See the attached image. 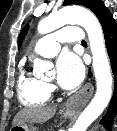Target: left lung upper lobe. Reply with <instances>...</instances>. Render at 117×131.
<instances>
[{"instance_id":"left-lung-upper-lobe-1","label":"left lung upper lobe","mask_w":117,"mask_h":131,"mask_svg":"<svg viewBox=\"0 0 117 131\" xmlns=\"http://www.w3.org/2000/svg\"><path fill=\"white\" fill-rule=\"evenodd\" d=\"M82 5L87 8H89L91 11L97 14L102 10L103 7H105L104 3L100 0H65L63 5ZM28 25H26L23 30L20 33L19 39H18V44H21L22 39L24 38L25 33L27 32Z\"/></svg>"}]
</instances>
